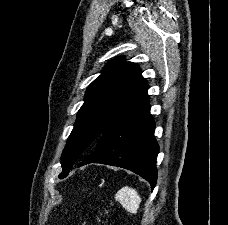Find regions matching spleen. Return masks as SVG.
Returning <instances> with one entry per match:
<instances>
[{
	"label": "spleen",
	"instance_id": "obj_1",
	"mask_svg": "<svg viewBox=\"0 0 228 225\" xmlns=\"http://www.w3.org/2000/svg\"><path fill=\"white\" fill-rule=\"evenodd\" d=\"M116 201H119L120 205L129 211V213H137L140 203L141 197L139 193H137L136 189H131V187H123L120 189L118 193L115 195Z\"/></svg>",
	"mask_w": 228,
	"mask_h": 225
}]
</instances>
